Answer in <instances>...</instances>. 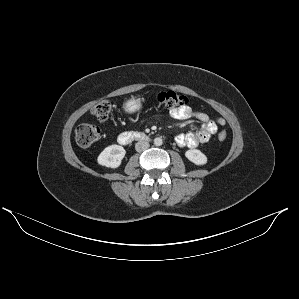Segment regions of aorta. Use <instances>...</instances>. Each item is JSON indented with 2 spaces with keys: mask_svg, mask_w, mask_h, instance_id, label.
I'll use <instances>...</instances> for the list:
<instances>
[{
  "mask_svg": "<svg viewBox=\"0 0 299 299\" xmlns=\"http://www.w3.org/2000/svg\"><path fill=\"white\" fill-rule=\"evenodd\" d=\"M163 144V140L160 137H157L154 139V145L155 146H161Z\"/></svg>",
  "mask_w": 299,
  "mask_h": 299,
  "instance_id": "1",
  "label": "aorta"
}]
</instances>
